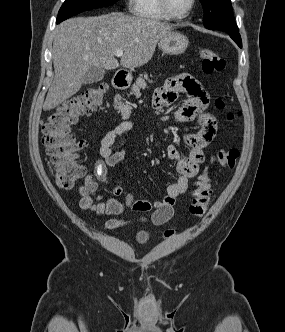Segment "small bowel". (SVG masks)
Masks as SVG:
<instances>
[{
	"label": "small bowel",
	"mask_w": 285,
	"mask_h": 332,
	"mask_svg": "<svg viewBox=\"0 0 285 332\" xmlns=\"http://www.w3.org/2000/svg\"><path fill=\"white\" fill-rule=\"evenodd\" d=\"M179 93L185 94L187 98L175 112V120L177 122L197 120L200 127L198 131L183 136V142L188 148L185 157L180 156L175 145H169L166 149L168 158L177 161L178 172V178L168 186L166 196L161 200L150 202L137 200L129 192L124 195L122 201L117 199L123 195V189L112 183L109 169L121 162L127 154L126 148L113 151L117 138L133 128V122L125 120L109 130L101 140L100 159L95 164L94 173L87 175L79 188L81 209L104 215H119L124 209L142 213L152 212L150 222L153 225H162L172 218L176 199L188 190L189 179L198 172L199 166L204 161V149L213 141L218 129L216 118L207 111L209 94L202 84L188 73L169 78L162 88L156 90L152 101L153 107L160 110L171 105ZM99 183L109 187L116 198L104 200L97 193ZM123 224L124 222L119 219H111L108 222L110 227H119Z\"/></svg>",
	"instance_id": "small-bowel-1"
}]
</instances>
